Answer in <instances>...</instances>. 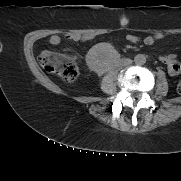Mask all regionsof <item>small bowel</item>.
<instances>
[{
  "label": "small bowel",
  "instance_id": "small-bowel-1",
  "mask_svg": "<svg viewBox=\"0 0 181 181\" xmlns=\"http://www.w3.org/2000/svg\"><path fill=\"white\" fill-rule=\"evenodd\" d=\"M67 39L74 41H87L91 40L93 37L91 35H79V34H67L65 36ZM165 35L163 33H155L153 35L146 36L142 42L145 45H153L156 41L163 39ZM126 39L134 44L141 42V39L134 35H127ZM62 38L59 35H52L49 38V43L51 45H58ZM160 61L167 66L168 72L171 76H178L181 74V63L176 59L174 54L163 55L160 57Z\"/></svg>",
  "mask_w": 181,
  "mask_h": 181
}]
</instances>
